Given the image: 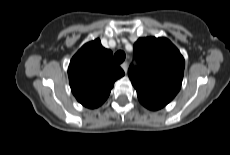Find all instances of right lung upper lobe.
Wrapping results in <instances>:
<instances>
[{"instance_id": "1", "label": "right lung upper lobe", "mask_w": 230, "mask_h": 155, "mask_svg": "<svg viewBox=\"0 0 230 155\" xmlns=\"http://www.w3.org/2000/svg\"><path fill=\"white\" fill-rule=\"evenodd\" d=\"M68 76L78 102L93 109L106 101L114 82L124 76V71L114 63L112 52L96 39L83 45L73 56Z\"/></svg>"}]
</instances>
